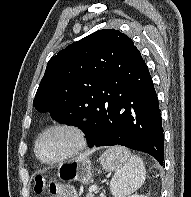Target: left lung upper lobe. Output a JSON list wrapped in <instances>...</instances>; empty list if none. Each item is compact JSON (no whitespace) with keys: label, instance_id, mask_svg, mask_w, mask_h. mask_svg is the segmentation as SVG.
<instances>
[{"label":"left lung upper lobe","instance_id":"1","mask_svg":"<svg viewBox=\"0 0 191 197\" xmlns=\"http://www.w3.org/2000/svg\"><path fill=\"white\" fill-rule=\"evenodd\" d=\"M147 69L124 33L103 29L72 43L46 67L33 106L85 132V120L118 88L123 76Z\"/></svg>","mask_w":191,"mask_h":197}]
</instances>
